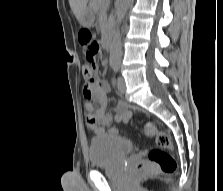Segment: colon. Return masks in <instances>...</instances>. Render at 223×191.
Listing matches in <instances>:
<instances>
[{
    "label": "colon",
    "instance_id": "1",
    "mask_svg": "<svg viewBox=\"0 0 223 191\" xmlns=\"http://www.w3.org/2000/svg\"><path fill=\"white\" fill-rule=\"evenodd\" d=\"M80 37L85 48V58L87 60V63L82 67V73L86 83L91 84L95 80V60L99 54V43L88 30H83ZM144 129L148 136L155 138L157 147L148 152L146 160L138 161L135 164V172L149 174L157 170L163 174L174 173L177 164L174 157L168 152V150L173 149L170 136L165 132L158 131L152 122H147Z\"/></svg>",
    "mask_w": 223,
    "mask_h": 191
}]
</instances>
